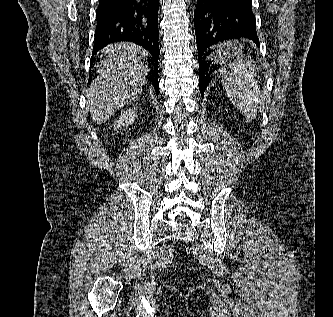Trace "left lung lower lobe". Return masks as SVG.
<instances>
[{"mask_svg":"<svg viewBox=\"0 0 333 317\" xmlns=\"http://www.w3.org/2000/svg\"><path fill=\"white\" fill-rule=\"evenodd\" d=\"M194 25L199 61V84L202 97L222 67L217 60L219 52L211 54L208 48L219 42L247 38L259 46L252 0H197ZM224 49L223 45L219 46Z\"/></svg>","mask_w":333,"mask_h":317,"instance_id":"obj_1","label":"left lung lower lobe"}]
</instances>
